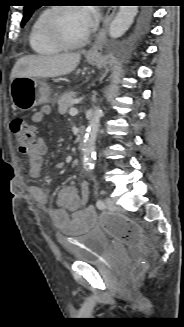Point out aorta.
<instances>
[{"label": "aorta", "mask_w": 184, "mask_h": 327, "mask_svg": "<svg viewBox=\"0 0 184 327\" xmlns=\"http://www.w3.org/2000/svg\"><path fill=\"white\" fill-rule=\"evenodd\" d=\"M137 6H120L119 11L109 26V35L111 38L121 37L131 26L135 16L137 15ZM102 116V110L100 107H96L93 113L87 133L85 135V141L83 145V153L86 166L92 168L95 159V141L100 125V118Z\"/></svg>", "instance_id": "762f6f07"}]
</instances>
